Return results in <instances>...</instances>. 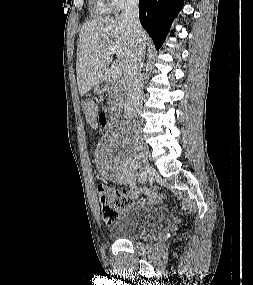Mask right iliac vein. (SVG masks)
Returning <instances> with one entry per match:
<instances>
[{"mask_svg": "<svg viewBox=\"0 0 253 285\" xmlns=\"http://www.w3.org/2000/svg\"><path fill=\"white\" fill-rule=\"evenodd\" d=\"M152 172V168L147 164L143 169H142V172H141V176H140V182L141 183H146L149 179V176Z\"/></svg>", "mask_w": 253, "mask_h": 285, "instance_id": "1", "label": "right iliac vein"}]
</instances>
